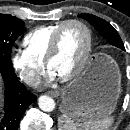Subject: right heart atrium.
I'll return each mask as SVG.
<instances>
[{
	"mask_svg": "<svg viewBox=\"0 0 130 130\" xmlns=\"http://www.w3.org/2000/svg\"><path fill=\"white\" fill-rule=\"evenodd\" d=\"M11 63L25 84L35 87L40 83L45 71L44 63L35 60L26 50L13 51Z\"/></svg>",
	"mask_w": 130,
	"mask_h": 130,
	"instance_id": "d8ad5b80",
	"label": "right heart atrium"
}]
</instances>
